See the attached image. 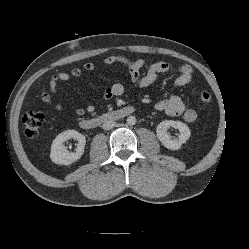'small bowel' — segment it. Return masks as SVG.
Returning <instances> with one entry per match:
<instances>
[{"mask_svg": "<svg viewBox=\"0 0 249 249\" xmlns=\"http://www.w3.org/2000/svg\"><path fill=\"white\" fill-rule=\"evenodd\" d=\"M105 65L120 64L126 67L135 82L140 88H147L151 86L157 79L158 75L169 70V65L165 62H155L148 66L147 72L141 76V71L146 63L143 59L130 60L123 56H108L103 60ZM96 69V65L92 62H87L83 68H73L70 72H58L54 74L50 80L49 88L43 90L42 99L47 104L53 105L56 110L62 111V106L55 100L60 101L58 94L59 82H70L73 79H79L83 76L84 71L92 72ZM179 74L173 82L172 93L168 98L159 99L155 102L154 108L157 111L165 112L169 116H181L187 123H192L196 120L197 114L195 110L189 108L184 101L174 91L182 86L190 84V94L195 95L198 89L195 84V73L191 66L183 65L179 67ZM124 92V85L121 83H114L106 88L103 94V99L108 100L114 96L122 95ZM95 105H89L86 110L91 112ZM85 112L83 108H76L75 113L82 115Z\"/></svg>", "mask_w": 249, "mask_h": 249, "instance_id": "obj_1", "label": "small bowel"}]
</instances>
